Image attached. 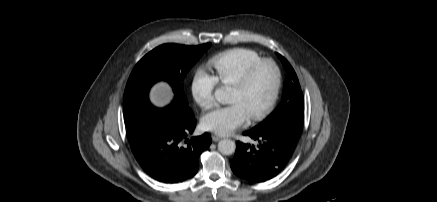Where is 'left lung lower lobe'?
<instances>
[{"instance_id": "left-lung-lower-lobe-1", "label": "left lung lower lobe", "mask_w": 437, "mask_h": 202, "mask_svg": "<svg viewBox=\"0 0 437 202\" xmlns=\"http://www.w3.org/2000/svg\"><path fill=\"white\" fill-rule=\"evenodd\" d=\"M257 145L237 142L230 166L235 175L249 182H264L276 176L293 154L295 141L275 131L251 129L244 132Z\"/></svg>"}]
</instances>
